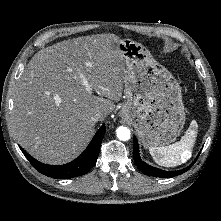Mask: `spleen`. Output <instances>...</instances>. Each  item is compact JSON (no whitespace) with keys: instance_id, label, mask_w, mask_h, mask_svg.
Listing matches in <instances>:
<instances>
[{"instance_id":"spleen-1","label":"spleen","mask_w":221,"mask_h":221,"mask_svg":"<svg viewBox=\"0 0 221 221\" xmlns=\"http://www.w3.org/2000/svg\"><path fill=\"white\" fill-rule=\"evenodd\" d=\"M197 128L196 120H192L190 127L180 141L165 147H149V152L154 161L164 167H175L187 162L192 155L197 137Z\"/></svg>"}]
</instances>
